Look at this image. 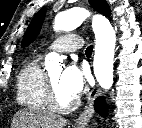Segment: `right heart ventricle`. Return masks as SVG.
I'll use <instances>...</instances> for the list:
<instances>
[{"label": "right heart ventricle", "mask_w": 142, "mask_h": 128, "mask_svg": "<svg viewBox=\"0 0 142 128\" xmlns=\"http://www.w3.org/2000/svg\"><path fill=\"white\" fill-rule=\"evenodd\" d=\"M17 100L28 108H50L47 98V74L40 65V58L25 64L17 77Z\"/></svg>", "instance_id": "right-heart-ventricle-1"}]
</instances>
